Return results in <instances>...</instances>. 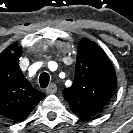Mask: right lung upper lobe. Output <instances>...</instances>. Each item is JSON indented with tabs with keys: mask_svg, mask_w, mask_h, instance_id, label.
Listing matches in <instances>:
<instances>
[{
	"mask_svg": "<svg viewBox=\"0 0 133 133\" xmlns=\"http://www.w3.org/2000/svg\"><path fill=\"white\" fill-rule=\"evenodd\" d=\"M22 47L12 44L0 54V114L20 122L45 94L34 89L19 68Z\"/></svg>",
	"mask_w": 133,
	"mask_h": 133,
	"instance_id": "1",
	"label": "right lung upper lobe"
}]
</instances>
